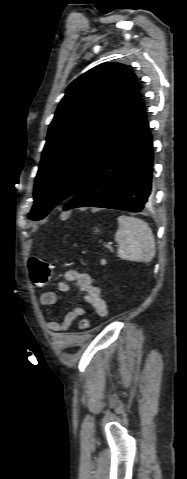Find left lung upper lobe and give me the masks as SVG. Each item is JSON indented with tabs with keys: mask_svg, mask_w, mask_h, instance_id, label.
<instances>
[{
	"mask_svg": "<svg viewBox=\"0 0 187 479\" xmlns=\"http://www.w3.org/2000/svg\"><path fill=\"white\" fill-rule=\"evenodd\" d=\"M140 84L120 63L98 65L67 88L49 126L28 218L43 219L78 190L119 136Z\"/></svg>",
	"mask_w": 187,
	"mask_h": 479,
	"instance_id": "obj_1",
	"label": "left lung upper lobe"
}]
</instances>
